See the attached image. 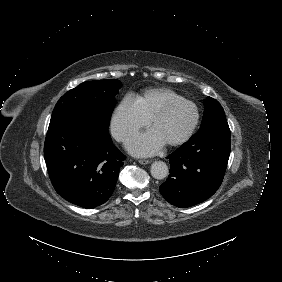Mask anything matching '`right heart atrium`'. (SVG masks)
<instances>
[{
  "label": "right heart atrium",
  "instance_id": "right-heart-atrium-1",
  "mask_svg": "<svg viewBox=\"0 0 282 282\" xmlns=\"http://www.w3.org/2000/svg\"><path fill=\"white\" fill-rule=\"evenodd\" d=\"M149 122L150 119L142 111L136 99L126 96L112 115L111 131L117 140L125 142L138 130L147 127Z\"/></svg>",
  "mask_w": 282,
  "mask_h": 282
}]
</instances>
